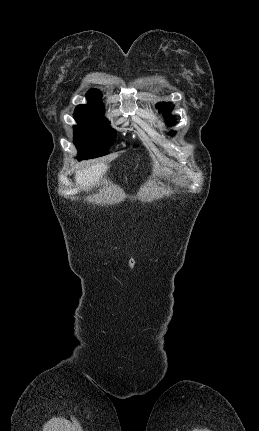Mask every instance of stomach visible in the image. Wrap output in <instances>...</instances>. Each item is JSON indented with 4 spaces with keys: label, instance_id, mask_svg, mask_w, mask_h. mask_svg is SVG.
<instances>
[{
    "label": "stomach",
    "instance_id": "0dacf381",
    "mask_svg": "<svg viewBox=\"0 0 259 431\" xmlns=\"http://www.w3.org/2000/svg\"><path fill=\"white\" fill-rule=\"evenodd\" d=\"M172 178L174 181H176L177 183H180V184H184L186 182L185 176H183L182 174L177 173V172L172 174Z\"/></svg>",
    "mask_w": 259,
    "mask_h": 431
}]
</instances>
